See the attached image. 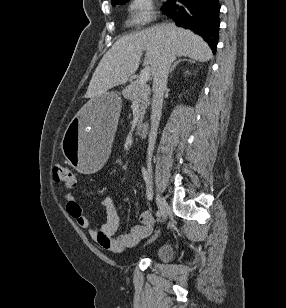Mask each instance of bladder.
<instances>
[{
  "mask_svg": "<svg viewBox=\"0 0 286 308\" xmlns=\"http://www.w3.org/2000/svg\"><path fill=\"white\" fill-rule=\"evenodd\" d=\"M153 256L159 261H166L171 256V247L168 244H161L153 251Z\"/></svg>",
  "mask_w": 286,
  "mask_h": 308,
  "instance_id": "obj_1",
  "label": "bladder"
}]
</instances>
